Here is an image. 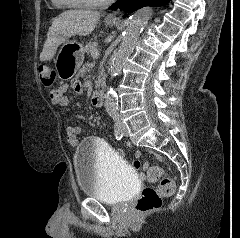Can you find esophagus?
Masks as SVG:
<instances>
[{
	"label": "esophagus",
	"mask_w": 240,
	"mask_h": 238,
	"mask_svg": "<svg viewBox=\"0 0 240 238\" xmlns=\"http://www.w3.org/2000/svg\"><path fill=\"white\" fill-rule=\"evenodd\" d=\"M123 15H124V11L122 9H118V10L114 11L113 13L108 14L107 19L120 20Z\"/></svg>",
	"instance_id": "esophagus-1"
}]
</instances>
